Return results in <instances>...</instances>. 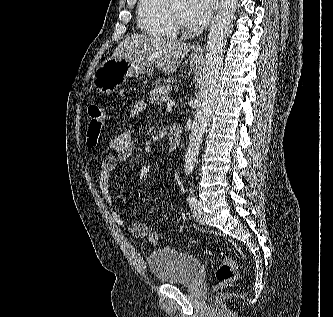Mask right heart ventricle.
I'll list each match as a JSON object with an SVG mask.
<instances>
[{"label":"right heart ventricle","mask_w":333,"mask_h":317,"mask_svg":"<svg viewBox=\"0 0 333 317\" xmlns=\"http://www.w3.org/2000/svg\"><path fill=\"white\" fill-rule=\"evenodd\" d=\"M164 0H139L137 24L139 29L157 38H175L177 30L168 21L164 11Z\"/></svg>","instance_id":"obj_1"}]
</instances>
